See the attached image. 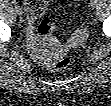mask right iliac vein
<instances>
[{
	"instance_id": "1",
	"label": "right iliac vein",
	"mask_w": 111,
	"mask_h": 106,
	"mask_svg": "<svg viewBox=\"0 0 111 106\" xmlns=\"http://www.w3.org/2000/svg\"><path fill=\"white\" fill-rule=\"evenodd\" d=\"M15 12L19 16L23 14V10H22V8L20 6L15 7Z\"/></svg>"
}]
</instances>
